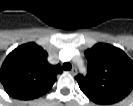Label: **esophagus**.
<instances>
[{
  "instance_id": "esophagus-1",
  "label": "esophagus",
  "mask_w": 133,
  "mask_h": 106,
  "mask_svg": "<svg viewBox=\"0 0 133 106\" xmlns=\"http://www.w3.org/2000/svg\"><path fill=\"white\" fill-rule=\"evenodd\" d=\"M70 73L75 76L77 74V68L73 67L72 70L70 71Z\"/></svg>"
}]
</instances>
